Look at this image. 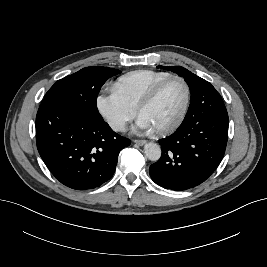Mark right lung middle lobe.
Returning <instances> with one entry per match:
<instances>
[{
	"mask_svg": "<svg viewBox=\"0 0 267 267\" xmlns=\"http://www.w3.org/2000/svg\"><path fill=\"white\" fill-rule=\"evenodd\" d=\"M119 70L92 66L58 80L44 96V101L60 103L92 118H102L97 109L98 93Z\"/></svg>",
	"mask_w": 267,
	"mask_h": 267,
	"instance_id": "dd1d6c3e",
	"label": "right lung middle lobe"
}]
</instances>
